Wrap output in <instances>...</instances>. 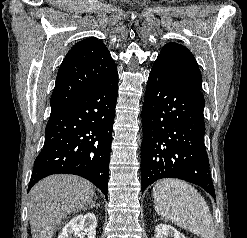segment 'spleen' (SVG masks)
Masks as SVG:
<instances>
[{
    "mask_svg": "<svg viewBox=\"0 0 247 238\" xmlns=\"http://www.w3.org/2000/svg\"><path fill=\"white\" fill-rule=\"evenodd\" d=\"M155 211L164 219L201 238H214L209 207L190 184L178 179H162L153 187Z\"/></svg>",
    "mask_w": 247,
    "mask_h": 238,
    "instance_id": "spleen-1",
    "label": "spleen"
}]
</instances>
